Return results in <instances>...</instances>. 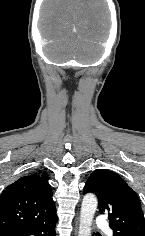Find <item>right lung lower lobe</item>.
Returning <instances> with one entry per match:
<instances>
[{
	"instance_id": "obj_1",
	"label": "right lung lower lobe",
	"mask_w": 145,
	"mask_h": 236,
	"mask_svg": "<svg viewBox=\"0 0 145 236\" xmlns=\"http://www.w3.org/2000/svg\"><path fill=\"white\" fill-rule=\"evenodd\" d=\"M57 215L35 225L0 231V236H55Z\"/></svg>"
}]
</instances>
